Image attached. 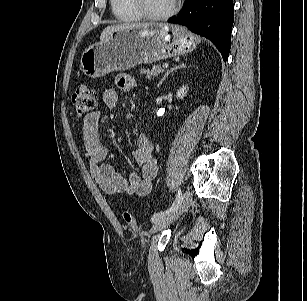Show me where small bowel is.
Masks as SVG:
<instances>
[{"label":"small bowel","mask_w":307,"mask_h":301,"mask_svg":"<svg viewBox=\"0 0 307 301\" xmlns=\"http://www.w3.org/2000/svg\"><path fill=\"white\" fill-rule=\"evenodd\" d=\"M119 90L129 92L136 90L138 81L130 75H121L116 80ZM103 101L109 108H113L118 101V92L114 88L107 89L103 94ZM100 112L94 111L85 117L82 125L84 139V153L88 162V169L94 182L107 194L126 193L128 195L144 196L150 193L158 167L153 155V143L146 134H140L136 140V147L132 150V157L140 166V172H132L126 179L114 168L105 163L109 149L105 146L99 134Z\"/></svg>","instance_id":"obj_1"}]
</instances>
